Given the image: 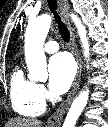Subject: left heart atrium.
<instances>
[{"instance_id": "left-heart-atrium-1", "label": "left heart atrium", "mask_w": 108, "mask_h": 127, "mask_svg": "<svg viewBox=\"0 0 108 127\" xmlns=\"http://www.w3.org/2000/svg\"><path fill=\"white\" fill-rule=\"evenodd\" d=\"M48 71L51 91L55 94H63L72 84L76 68L72 58L67 53H59L51 58Z\"/></svg>"}]
</instances>
